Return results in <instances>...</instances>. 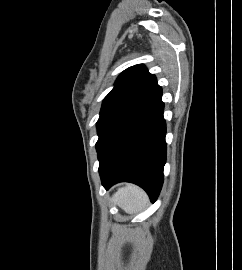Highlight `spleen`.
I'll return each instance as SVG.
<instances>
[{
    "label": "spleen",
    "instance_id": "spleen-1",
    "mask_svg": "<svg viewBox=\"0 0 242 270\" xmlns=\"http://www.w3.org/2000/svg\"><path fill=\"white\" fill-rule=\"evenodd\" d=\"M112 200L127 213L140 212L148 205V197L145 192L131 184L120 188L113 195Z\"/></svg>",
    "mask_w": 242,
    "mask_h": 270
}]
</instances>
